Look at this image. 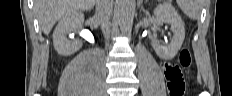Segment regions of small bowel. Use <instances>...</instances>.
Segmentation results:
<instances>
[{
	"label": "small bowel",
	"instance_id": "1",
	"mask_svg": "<svg viewBox=\"0 0 232 96\" xmlns=\"http://www.w3.org/2000/svg\"><path fill=\"white\" fill-rule=\"evenodd\" d=\"M162 68H171V63H162Z\"/></svg>",
	"mask_w": 232,
	"mask_h": 96
}]
</instances>
